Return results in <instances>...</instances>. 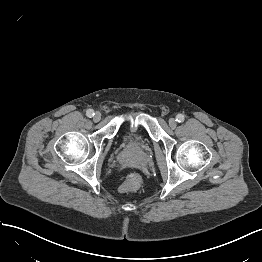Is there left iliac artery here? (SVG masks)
<instances>
[{
    "instance_id": "left-iliac-artery-1",
    "label": "left iliac artery",
    "mask_w": 262,
    "mask_h": 262,
    "mask_svg": "<svg viewBox=\"0 0 262 262\" xmlns=\"http://www.w3.org/2000/svg\"><path fill=\"white\" fill-rule=\"evenodd\" d=\"M185 120V117H184V115L183 114H178L177 116H176V121L177 122H183Z\"/></svg>"
}]
</instances>
